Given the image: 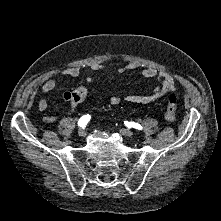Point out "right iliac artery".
<instances>
[{"label": "right iliac artery", "instance_id": "obj_1", "mask_svg": "<svg viewBox=\"0 0 221 221\" xmlns=\"http://www.w3.org/2000/svg\"><path fill=\"white\" fill-rule=\"evenodd\" d=\"M90 115H84V116H82L80 119H79V121H78V125L80 126V127H82V128H84L86 125H87V123L89 122V120H90Z\"/></svg>", "mask_w": 221, "mask_h": 221}]
</instances>
